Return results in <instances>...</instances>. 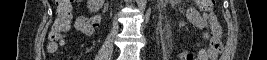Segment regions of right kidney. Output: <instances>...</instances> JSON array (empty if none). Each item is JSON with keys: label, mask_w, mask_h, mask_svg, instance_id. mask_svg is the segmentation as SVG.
Masks as SVG:
<instances>
[{"label": "right kidney", "mask_w": 267, "mask_h": 60, "mask_svg": "<svg viewBox=\"0 0 267 60\" xmlns=\"http://www.w3.org/2000/svg\"><path fill=\"white\" fill-rule=\"evenodd\" d=\"M104 0H87V7L91 13L98 12L103 6Z\"/></svg>", "instance_id": "ca27d5eb"}]
</instances>
